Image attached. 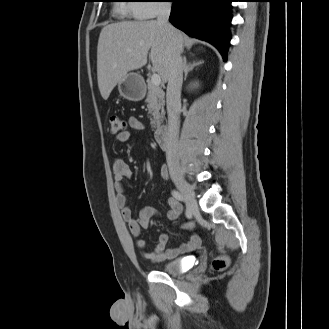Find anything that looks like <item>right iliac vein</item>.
<instances>
[{
  "mask_svg": "<svg viewBox=\"0 0 329 329\" xmlns=\"http://www.w3.org/2000/svg\"><path fill=\"white\" fill-rule=\"evenodd\" d=\"M174 183L183 195L188 210L190 212H195L197 210V202L190 185L182 177H175Z\"/></svg>",
  "mask_w": 329,
  "mask_h": 329,
  "instance_id": "right-iliac-vein-1",
  "label": "right iliac vein"
}]
</instances>
